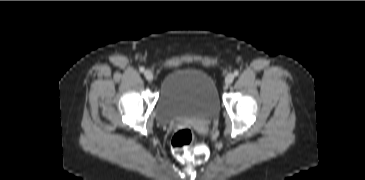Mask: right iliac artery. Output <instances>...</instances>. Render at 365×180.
I'll list each match as a JSON object with an SVG mask.
<instances>
[{"label": "right iliac artery", "instance_id": "obj_1", "mask_svg": "<svg viewBox=\"0 0 365 180\" xmlns=\"http://www.w3.org/2000/svg\"><path fill=\"white\" fill-rule=\"evenodd\" d=\"M139 71H140V72H144V71H145L144 67H140V68H139Z\"/></svg>", "mask_w": 365, "mask_h": 180}]
</instances>
